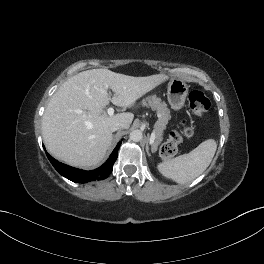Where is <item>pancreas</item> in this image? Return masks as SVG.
Here are the masks:
<instances>
[{
	"instance_id": "obj_1",
	"label": "pancreas",
	"mask_w": 264,
	"mask_h": 264,
	"mask_svg": "<svg viewBox=\"0 0 264 264\" xmlns=\"http://www.w3.org/2000/svg\"><path fill=\"white\" fill-rule=\"evenodd\" d=\"M142 105L151 107L152 110H156L159 118L155 124L156 136L152 145V150L156 151L163 140V130L166 128V125L171 118L170 110L167 108L166 103L162 102L161 99L156 96L147 97L142 101Z\"/></svg>"
}]
</instances>
